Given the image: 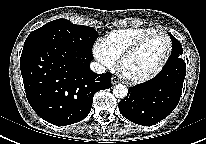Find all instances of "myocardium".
Returning <instances> with one entry per match:
<instances>
[{
  "label": "myocardium",
  "mask_w": 206,
  "mask_h": 144,
  "mask_svg": "<svg viewBox=\"0 0 206 144\" xmlns=\"http://www.w3.org/2000/svg\"><path fill=\"white\" fill-rule=\"evenodd\" d=\"M156 36L164 37L167 40V43H168L167 53H166L163 61L161 62V64L152 73H150L148 75H145V76L131 77V76L127 75L124 71L125 62L130 57H132L136 52H138L147 41H149L151 38L156 37ZM172 51H173V43H172V40L169 37V35H167L164 32H161V31H156L154 33H151V34L146 35V36L142 37L141 39H139L137 42H135L133 45H131L120 56V58H119V70L122 73L123 77L132 84H143V83L152 81L156 77H158L162 73V71L165 69V67L167 66V64H168V62L171 58Z\"/></svg>",
  "instance_id": "myocardium-1"
}]
</instances>
